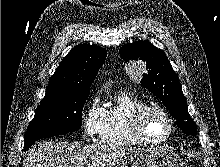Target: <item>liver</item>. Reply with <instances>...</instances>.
<instances>
[{"label":"liver","mask_w":220,"mask_h":167,"mask_svg":"<svg viewBox=\"0 0 220 167\" xmlns=\"http://www.w3.org/2000/svg\"><path fill=\"white\" fill-rule=\"evenodd\" d=\"M128 150L127 147L105 144L41 141L26 153L23 167H113Z\"/></svg>","instance_id":"6515ba94"}]
</instances>
